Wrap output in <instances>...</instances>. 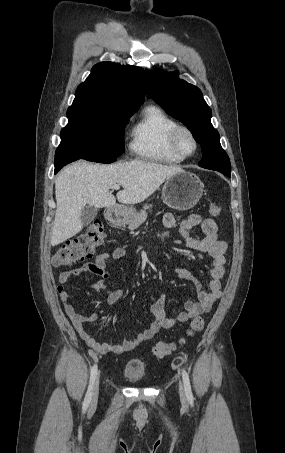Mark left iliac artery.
<instances>
[{"mask_svg":"<svg viewBox=\"0 0 285 453\" xmlns=\"http://www.w3.org/2000/svg\"><path fill=\"white\" fill-rule=\"evenodd\" d=\"M182 379H183V383H184V389H185L187 400L191 405H193L194 398H193V394H192V390H191L190 380H189V376H188L187 372L184 369L182 370Z\"/></svg>","mask_w":285,"mask_h":453,"instance_id":"obj_1","label":"left iliac artery"}]
</instances>
